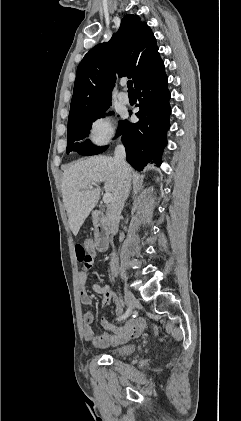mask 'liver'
<instances>
[{
	"label": "liver",
	"mask_w": 241,
	"mask_h": 421,
	"mask_svg": "<svg viewBox=\"0 0 241 421\" xmlns=\"http://www.w3.org/2000/svg\"><path fill=\"white\" fill-rule=\"evenodd\" d=\"M130 174L131 167L129 166ZM104 183L106 193L113 197L118 183L114 158L94 156L79 160L64 171L62 197L71 231L76 236L100 198V189L90 186ZM82 193V194H80Z\"/></svg>",
	"instance_id": "1"
}]
</instances>
